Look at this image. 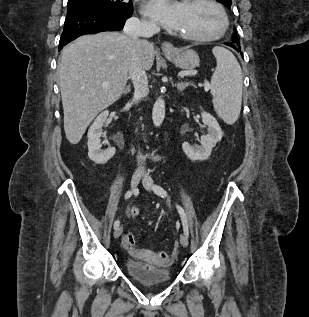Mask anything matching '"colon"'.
<instances>
[{"instance_id":"5ec220e1","label":"colon","mask_w":309,"mask_h":317,"mask_svg":"<svg viewBox=\"0 0 309 317\" xmlns=\"http://www.w3.org/2000/svg\"><path fill=\"white\" fill-rule=\"evenodd\" d=\"M139 214V211L136 208H133L131 211V215L132 216H137ZM123 243L126 247L128 248H133L135 245V238L132 234H126L124 239H123ZM167 256L168 254L161 252L159 253V259L163 264H168L169 262L167 261Z\"/></svg>"}]
</instances>
